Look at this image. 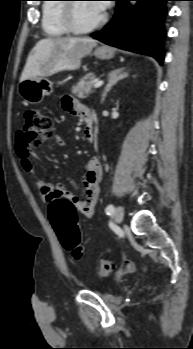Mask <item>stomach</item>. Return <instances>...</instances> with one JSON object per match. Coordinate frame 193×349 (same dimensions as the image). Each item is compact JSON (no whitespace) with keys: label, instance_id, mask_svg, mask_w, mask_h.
<instances>
[{"label":"stomach","instance_id":"0dacf381","mask_svg":"<svg viewBox=\"0 0 193 349\" xmlns=\"http://www.w3.org/2000/svg\"><path fill=\"white\" fill-rule=\"evenodd\" d=\"M94 55L99 59L108 60L114 57L115 49L102 46L95 50ZM18 90L25 102L37 104L40 103L45 96L51 94L53 86L50 81L43 77H32L20 82Z\"/></svg>","mask_w":193,"mask_h":349}]
</instances>
